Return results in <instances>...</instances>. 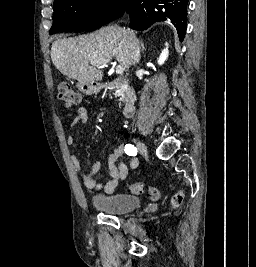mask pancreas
Masks as SVG:
<instances>
[{
  "label": "pancreas",
  "instance_id": "obj_1",
  "mask_svg": "<svg viewBox=\"0 0 256 267\" xmlns=\"http://www.w3.org/2000/svg\"><path fill=\"white\" fill-rule=\"evenodd\" d=\"M118 102H120V104L121 102H124L123 98H119Z\"/></svg>",
  "mask_w": 256,
  "mask_h": 267
}]
</instances>
